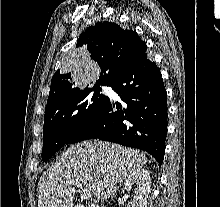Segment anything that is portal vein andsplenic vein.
Masks as SVG:
<instances>
[{"label": "portal vein and splenic vein", "instance_id": "obj_1", "mask_svg": "<svg viewBox=\"0 0 220 207\" xmlns=\"http://www.w3.org/2000/svg\"><path fill=\"white\" fill-rule=\"evenodd\" d=\"M66 183L69 185H74L77 188H79V190L83 192L82 197L84 199L89 200L92 198V193L88 189L83 188L82 184L78 180H70V181H67Z\"/></svg>", "mask_w": 220, "mask_h": 207}]
</instances>
